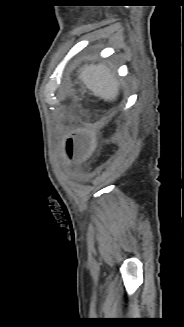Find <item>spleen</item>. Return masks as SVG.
Returning <instances> with one entry per match:
<instances>
[{
	"label": "spleen",
	"mask_w": 184,
	"mask_h": 327,
	"mask_svg": "<svg viewBox=\"0 0 184 327\" xmlns=\"http://www.w3.org/2000/svg\"><path fill=\"white\" fill-rule=\"evenodd\" d=\"M79 78L95 96L102 99L112 101L119 93L114 73H111L110 69L104 65L85 66L81 70Z\"/></svg>",
	"instance_id": "obj_1"
}]
</instances>
